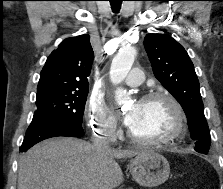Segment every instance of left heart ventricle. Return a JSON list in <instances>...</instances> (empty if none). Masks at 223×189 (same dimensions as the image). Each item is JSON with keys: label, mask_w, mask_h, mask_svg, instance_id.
I'll use <instances>...</instances> for the list:
<instances>
[{"label": "left heart ventricle", "mask_w": 223, "mask_h": 189, "mask_svg": "<svg viewBox=\"0 0 223 189\" xmlns=\"http://www.w3.org/2000/svg\"><path fill=\"white\" fill-rule=\"evenodd\" d=\"M133 110H136V117L130 129L138 136L155 138L169 133L174 127V113L165 100L140 102L132 105L128 112Z\"/></svg>", "instance_id": "b2bd125f"}]
</instances>
